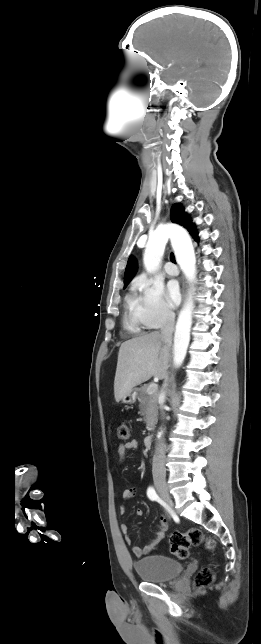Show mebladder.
Returning <instances> with one entry per match:
<instances>
[{
  "label": "bladder",
  "mask_w": 261,
  "mask_h": 644,
  "mask_svg": "<svg viewBox=\"0 0 261 644\" xmlns=\"http://www.w3.org/2000/svg\"><path fill=\"white\" fill-rule=\"evenodd\" d=\"M136 575L143 581L160 583L177 577L183 570L182 564L163 555L145 556L133 563Z\"/></svg>",
  "instance_id": "obj_1"
}]
</instances>
